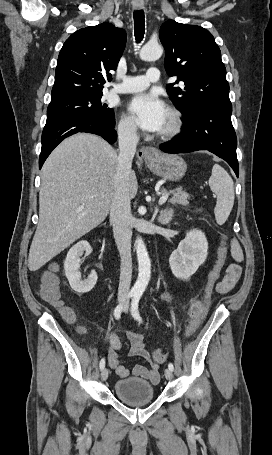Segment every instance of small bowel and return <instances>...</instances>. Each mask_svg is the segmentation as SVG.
<instances>
[{"mask_svg":"<svg viewBox=\"0 0 272 455\" xmlns=\"http://www.w3.org/2000/svg\"><path fill=\"white\" fill-rule=\"evenodd\" d=\"M230 252L234 259V263H231L225 272V275L221 280H218L214 286V290L219 294H226L231 291L238 283L241 274L242 267L240 263L244 259V254L239 242L236 239H232L230 242ZM171 294L169 292H163L160 296L161 301L169 303L171 301ZM111 348L108 351V363L109 366L116 372L120 378H126L129 376L130 371L127 367L122 365L119 360L118 351L122 348V343L118 336L114 333L109 335ZM130 357H142L146 360H150L149 353L145 349L143 343V336L137 332L129 333ZM132 373L135 376L147 379L151 383L156 384L160 378L159 365L152 363L150 367L137 364L133 367Z\"/></svg>","mask_w":272,"mask_h":455,"instance_id":"obj_1","label":"small bowel"}]
</instances>
